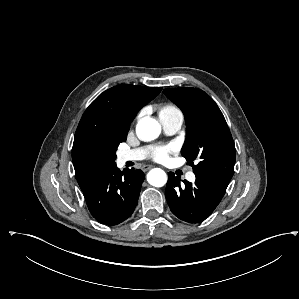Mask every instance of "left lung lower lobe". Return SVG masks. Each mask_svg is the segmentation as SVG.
<instances>
[{
	"mask_svg": "<svg viewBox=\"0 0 299 299\" xmlns=\"http://www.w3.org/2000/svg\"><path fill=\"white\" fill-rule=\"evenodd\" d=\"M227 186L204 176L196 175L195 184L183 180L181 184L174 173H168L166 200L172 213L188 223L204 221L218 206Z\"/></svg>",
	"mask_w": 299,
	"mask_h": 299,
	"instance_id": "0a47b994",
	"label": "left lung lower lobe"
}]
</instances>
